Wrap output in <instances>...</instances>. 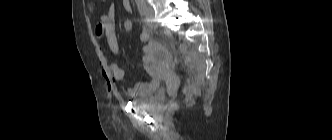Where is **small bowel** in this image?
I'll list each match as a JSON object with an SVG mask.
<instances>
[{
  "mask_svg": "<svg viewBox=\"0 0 332 140\" xmlns=\"http://www.w3.org/2000/svg\"><path fill=\"white\" fill-rule=\"evenodd\" d=\"M105 2L106 0H101ZM124 9L131 13L132 8L130 0H123ZM98 22L95 27V34L99 38H103L105 43L113 55H118L119 53V43L117 39V34L115 31V6L111 3L108 9L98 14ZM149 36L146 32H142L139 35V40L141 42H147ZM154 48L153 44H147L143 47L145 53L150 52ZM105 72V78L107 80L109 89H112L114 82H120L125 78V71L117 64L111 63L107 66L106 69H103ZM147 83L137 84L135 86L129 87L126 89V94L130 98H134L142 95L146 90Z\"/></svg>",
  "mask_w": 332,
  "mask_h": 140,
  "instance_id": "1",
  "label": "small bowel"
}]
</instances>
